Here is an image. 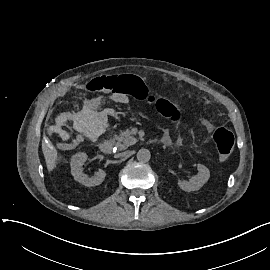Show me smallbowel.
Masks as SVG:
<instances>
[{
	"instance_id": "1",
	"label": "small bowel",
	"mask_w": 270,
	"mask_h": 270,
	"mask_svg": "<svg viewBox=\"0 0 270 270\" xmlns=\"http://www.w3.org/2000/svg\"><path fill=\"white\" fill-rule=\"evenodd\" d=\"M110 99L116 103L119 104H127L129 102V99L126 95L124 94H113L110 96ZM203 125L207 128V129H211L212 126L210 125L209 122L204 121ZM162 140L164 143L166 144H176V145H181L182 144V140L181 139H177V140H173L167 133H164L162 135ZM59 148L65 151L71 150L73 148V143L71 141L65 140L59 143Z\"/></svg>"
}]
</instances>
